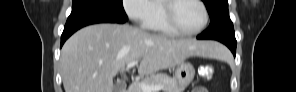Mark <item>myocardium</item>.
I'll return each mask as SVG.
<instances>
[{
  "label": "myocardium",
  "instance_id": "myocardium-1",
  "mask_svg": "<svg viewBox=\"0 0 296 92\" xmlns=\"http://www.w3.org/2000/svg\"><path fill=\"white\" fill-rule=\"evenodd\" d=\"M180 1L181 0L164 1V19H165L167 26L175 33L180 34V35H184V36L196 35V34L200 33L201 31H203L209 21V13H208L207 7L204 4V2L200 1V0H192V1L196 2L197 4H199L200 7L202 8L203 14H204V20H203L200 27H198L195 30L188 31V30H183L182 28H180L174 18V14H173L174 7Z\"/></svg>",
  "mask_w": 296,
  "mask_h": 92
}]
</instances>
